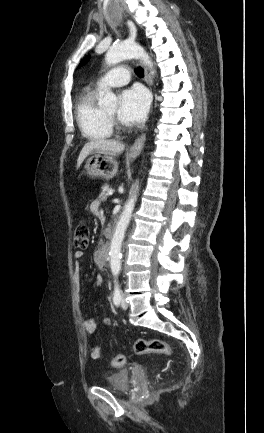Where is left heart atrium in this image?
Wrapping results in <instances>:
<instances>
[{
    "mask_svg": "<svg viewBox=\"0 0 264 433\" xmlns=\"http://www.w3.org/2000/svg\"><path fill=\"white\" fill-rule=\"evenodd\" d=\"M149 102L147 91L141 87L124 90L120 95L119 119L126 124L141 122L147 114Z\"/></svg>",
    "mask_w": 264,
    "mask_h": 433,
    "instance_id": "obj_1",
    "label": "left heart atrium"
}]
</instances>
